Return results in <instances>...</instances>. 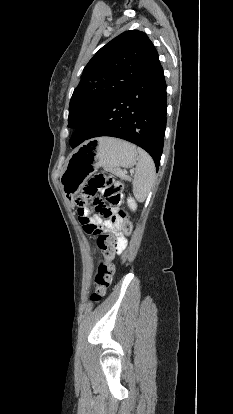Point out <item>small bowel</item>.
Returning a JSON list of instances; mask_svg holds the SVG:
<instances>
[{
  "instance_id": "c3829d8e",
  "label": "small bowel",
  "mask_w": 233,
  "mask_h": 414,
  "mask_svg": "<svg viewBox=\"0 0 233 414\" xmlns=\"http://www.w3.org/2000/svg\"><path fill=\"white\" fill-rule=\"evenodd\" d=\"M85 211L88 214V224H91L95 227L100 226L106 229L107 231L113 233L117 238L119 249L122 250L125 247L126 241H125V238L123 237V233H124L123 222H122V219L117 214L115 208L111 209L110 216L106 220H103L102 217L97 214L90 216V209L88 207H85ZM78 214H79V217H81V214L79 211H78Z\"/></svg>"
}]
</instances>
